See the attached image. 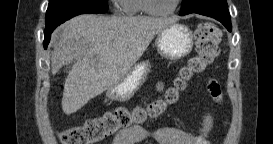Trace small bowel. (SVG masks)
Listing matches in <instances>:
<instances>
[{
    "label": "small bowel",
    "mask_w": 273,
    "mask_h": 144,
    "mask_svg": "<svg viewBox=\"0 0 273 144\" xmlns=\"http://www.w3.org/2000/svg\"><path fill=\"white\" fill-rule=\"evenodd\" d=\"M157 90L163 89V83L159 82ZM209 96L217 103L222 101V90L215 80H209L206 84ZM214 124L211 113L204 117L203 128L199 133H191L175 127H166L156 130H149L142 126H133L120 131L114 137L112 144H138L152 140L158 144H208V134Z\"/></svg>",
    "instance_id": "small-bowel-1"
}]
</instances>
